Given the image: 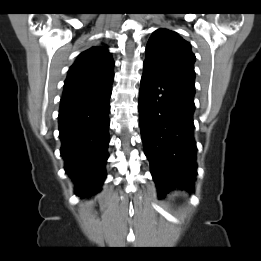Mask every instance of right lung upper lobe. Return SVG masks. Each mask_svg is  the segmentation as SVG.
<instances>
[{"label":"right lung upper lobe","mask_w":261,"mask_h":261,"mask_svg":"<svg viewBox=\"0 0 261 261\" xmlns=\"http://www.w3.org/2000/svg\"><path fill=\"white\" fill-rule=\"evenodd\" d=\"M113 66L106 47L94 46L82 52L69 69L63 96L110 85L114 78Z\"/></svg>","instance_id":"obj_1"}]
</instances>
